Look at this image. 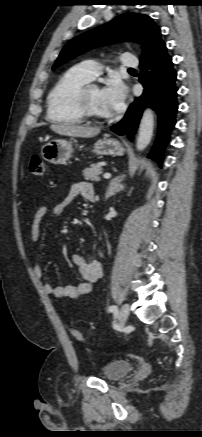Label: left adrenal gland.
Here are the masks:
<instances>
[{"mask_svg": "<svg viewBox=\"0 0 202 437\" xmlns=\"http://www.w3.org/2000/svg\"><path fill=\"white\" fill-rule=\"evenodd\" d=\"M124 177V175L117 176L110 181L109 187L107 188V192L105 194L106 199L125 188V186L121 183L124 180Z\"/></svg>", "mask_w": 202, "mask_h": 437, "instance_id": "a2214340", "label": "left adrenal gland"}]
</instances>
